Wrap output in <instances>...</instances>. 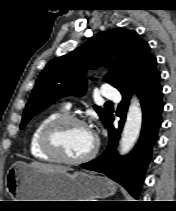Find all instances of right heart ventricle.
Here are the masks:
<instances>
[{"label":"right heart ventricle","mask_w":176,"mask_h":211,"mask_svg":"<svg viewBox=\"0 0 176 211\" xmlns=\"http://www.w3.org/2000/svg\"><path fill=\"white\" fill-rule=\"evenodd\" d=\"M62 111H52L42 116L34 125L29 137V152L35 159L41 161H52L53 158L48 155L41 147V133L44 126L53 118L62 115Z\"/></svg>","instance_id":"e07e8e85"}]
</instances>
